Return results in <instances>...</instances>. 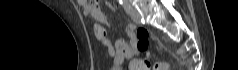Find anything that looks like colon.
I'll list each match as a JSON object with an SVG mask.
<instances>
[{"mask_svg":"<svg viewBox=\"0 0 238 70\" xmlns=\"http://www.w3.org/2000/svg\"><path fill=\"white\" fill-rule=\"evenodd\" d=\"M90 2L98 3L97 0ZM137 38V48L139 51H145L149 46V32L147 29L140 27L135 32ZM130 70H150L151 64L146 59L132 60L129 64ZM170 63H157L154 65L155 70H168Z\"/></svg>","mask_w":238,"mask_h":70,"instance_id":"obj_1","label":"colon"}]
</instances>
